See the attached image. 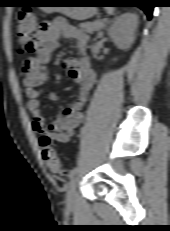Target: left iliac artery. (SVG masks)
I'll return each instance as SVG.
<instances>
[{
	"label": "left iliac artery",
	"mask_w": 170,
	"mask_h": 231,
	"mask_svg": "<svg viewBox=\"0 0 170 231\" xmlns=\"http://www.w3.org/2000/svg\"><path fill=\"white\" fill-rule=\"evenodd\" d=\"M77 171H78V168H77V167L73 168V169L69 172L68 177H69V178L74 177L75 174L77 173Z\"/></svg>",
	"instance_id": "44dca946"
}]
</instances>
